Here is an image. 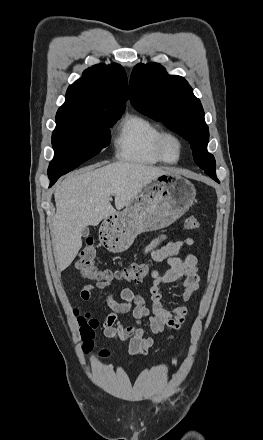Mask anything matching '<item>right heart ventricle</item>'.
Returning a JSON list of instances; mask_svg holds the SVG:
<instances>
[{"label":"right heart ventricle","mask_w":263,"mask_h":440,"mask_svg":"<svg viewBox=\"0 0 263 440\" xmlns=\"http://www.w3.org/2000/svg\"><path fill=\"white\" fill-rule=\"evenodd\" d=\"M161 128L140 114H127L121 120L114 140L115 155L119 160L143 164L163 162L155 149Z\"/></svg>","instance_id":"right-heart-ventricle-1"}]
</instances>
